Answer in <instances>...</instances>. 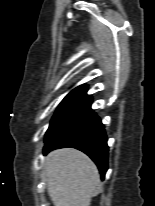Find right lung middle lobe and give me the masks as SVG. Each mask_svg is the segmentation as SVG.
<instances>
[{
  "label": "right lung middle lobe",
  "mask_w": 155,
  "mask_h": 206,
  "mask_svg": "<svg viewBox=\"0 0 155 206\" xmlns=\"http://www.w3.org/2000/svg\"><path fill=\"white\" fill-rule=\"evenodd\" d=\"M91 103L92 98L86 94L85 88L72 90L56 110L46 132V137L91 112Z\"/></svg>",
  "instance_id": "right-lung-middle-lobe-1"
}]
</instances>
